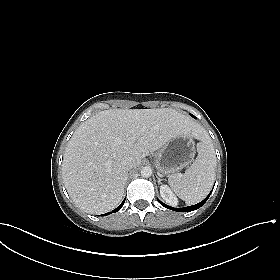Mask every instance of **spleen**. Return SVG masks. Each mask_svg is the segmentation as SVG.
Returning <instances> with one entry per match:
<instances>
[{"label":"spleen","instance_id":"spleen-1","mask_svg":"<svg viewBox=\"0 0 280 280\" xmlns=\"http://www.w3.org/2000/svg\"><path fill=\"white\" fill-rule=\"evenodd\" d=\"M198 155L185 173L172 174L168 182L186 204H195L203 200L215 180L216 161L209 144L202 141L197 144Z\"/></svg>","mask_w":280,"mask_h":280}]
</instances>
